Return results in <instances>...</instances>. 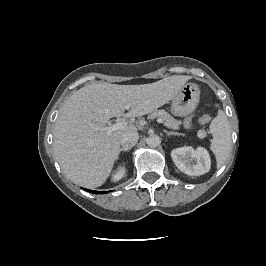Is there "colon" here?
Returning <instances> with one entry per match:
<instances>
[{"mask_svg":"<svg viewBox=\"0 0 266 266\" xmlns=\"http://www.w3.org/2000/svg\"><path fill=\"white\" fill-rule=\"evenodd\" d=\"M210 120V117L208 115H203L200 119H199V122L201 124H206L208 123ZM184 125L187 127V128H190L193 126V117L190 116V117H187L184 121Z\"/></svg>","mask_w":266,"mask_h":266,"instance_id":"colon-1","label":"colon"}]
</instances>
